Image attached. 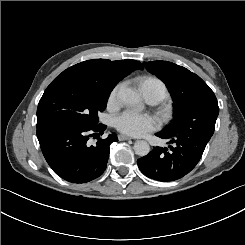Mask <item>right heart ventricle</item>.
Segmentation results:
<instances>
[{
  "label": "right heart ventricle",
  "mask_w": 245,
  "mask_h": 245,
  "mask_svg": "<svg viewBox=\"0 0 245 245\" xmlns=\"http://www.w3.org/2000/svg\"><path fill=\"white\" fill-rule=\"evenodd\" d=\"M140 88L142 91L148 90L156 93L159 96V99L167 96L166 86L162 81L156 78H147L144 82L141 83Z\"/></svg>",
  "instance_id": "right-heart-ventricle-1"
}]
</instances>
